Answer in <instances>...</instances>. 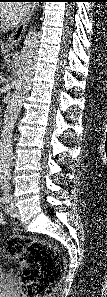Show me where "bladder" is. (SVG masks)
Wrapping results in <instances>:
<instances>
[{
	"label": "bladder",
	"instance_id": "obj_1",
	"mask_svg": "<svg viewBox=\"0 0 107 297\" xmlns=\"http://www.w3.org/2000/svg\"><path fill=\"white\" fill-rule=\"evenodd\" d=\"M0 277H1V280H3V279H4V273H3V271H2V270H0Z\"/></svg>",
	"mask_w": 107,
	"mask_h": 297
}]
</instances>
